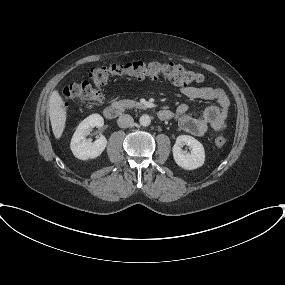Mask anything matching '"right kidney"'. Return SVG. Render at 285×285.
<instances>
[{"instance_id": "obj_1", "label": "right kidney", "mask_w": 285, "mask_h": 285, "mask_svg": "<svg viewBox=\"0 0 285 285\" xmlns=\"http://www.w3.org/2000/svg\"><path fill=\"white\" fill-rule=\"evenodd\" d=\"M104 119L99 114H92L85 118L77 127L71 139L70 148L73 155L80 160L97 158L104 151L107 140L100 136L95 142L86 139L92 128L102 127Z\"/></svg>"}]
</instances>
